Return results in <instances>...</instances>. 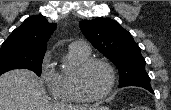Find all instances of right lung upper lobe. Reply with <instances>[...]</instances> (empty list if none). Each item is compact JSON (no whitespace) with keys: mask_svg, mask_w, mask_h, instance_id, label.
Wrapping results in <instances>:
<instances>
[{"mask_svg":"<svg viewBox=\"0 0 171 110\" xmlns=\"http://www.w3.org/2000/svg\"><path fill=\"white\" fill-rule=\"evenodd\" d=\"M56 26L55 23L49 24L45 17H29L11 33L2 46H14L27 52L45 54L46 43Z\"/></svg>","mask_w":171,"mask_h":110,"instance_id":"right-lung-upper-lobe-1","label":"right lung upper lobe"}]
</instances>
